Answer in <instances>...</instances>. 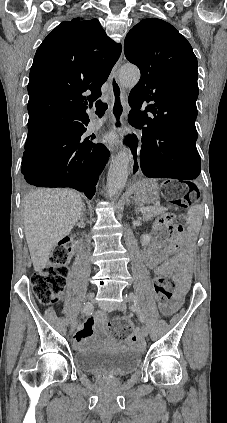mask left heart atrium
Returning <instances> with one entry per match:
<instances>
[{
    "label": "left heart atrium",
    "instance_id": "obj_1",
    "mask_svg": "<svg viewBox=\"0 0 227 423\" xmlns=\"http://www.w3.org/2000/svg\"><path fill=\"white\" fill-rule=\"evenodd\" d=\"M127 136H128V133L124 131L114 132L107 135L106 140L111 145H117L125 141Z\"/></svg>",
    "mask_w": 227,
    "mask_h": 423
}]
</instances>
